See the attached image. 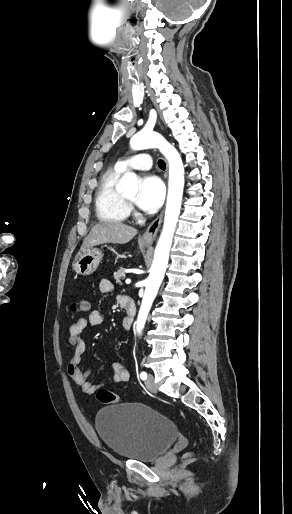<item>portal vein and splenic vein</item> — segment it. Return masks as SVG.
I'll use <instances>...</instances> for the list:
<instances>
[{"label": "portal vein and splenic vein", "mask_w": 292, "mask_h": 514, "mask_svg": "<svg viewBox=\"0 0 292 514\" xmlns=\"http://www.w3.org/2000/svg\"><path fill=\"white\" fill-rule=\"evenodd\" d=\"M125 284H131V280H125Z\"/></svg>", "instance_id": "18ae733b"}]
</instances>
